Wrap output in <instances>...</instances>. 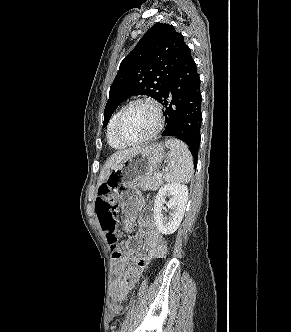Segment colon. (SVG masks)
<instances>
[{
	"mask_svg": "<svg viewBox=\"0 0 291 332\" xmlns=\"http://www.w3.org/2000/svg\"><path fill=\"white\" fill-rule=\"evenodd\" d=\"M96 211L101 228L104 231L107 242L111 247L113 258H117L119 256V251L117 249V221L115 217L117 207L109 188H103L98 193L96 200ZM122 309V305L118 303H113L110 308L111 313L114 315L119 314Z\"/></svg>",
	"mask_w": 291,
	"mask_h": 332,
	"instance_id": "colon-1",
	"label": "colon"
}]
</instances>
